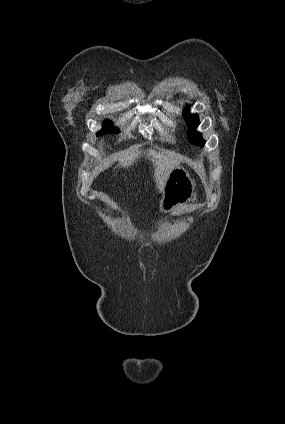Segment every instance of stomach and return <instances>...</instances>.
<instances>
[{"label": "stomach", "instance_id": "obj_1", "mask_svg": "<svg viewBox=\"0 0 285 424\" xmlns=\"http://www.w3.org/2000/svg\"><path fill=\"white\" fill-rule=\"evenodd\" d=\"M162 192L159 209L170 213L193 199L195 182L184 167L177 165L171 171Z\"/></svg>", "mask_w": 285, "mask_h": 424}]
</instances>
